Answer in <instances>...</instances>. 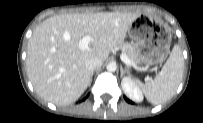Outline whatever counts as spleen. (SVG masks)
<instances>
[{"label": "spleen", "mask_w": 203, "mask_h": 123, "mask_svg": "<svg viewBox=\"0 0 203 123\" xmlns=\"http://www.w3.org/2000/svg\"><path fill=\"white\" fill-rule=\"evenodd\" d=\"M184 72V59L181 49L174 45L162 70L154 80L139 83L146 99L152 104H160L170 99L176 92Z\"/></svg>", "instance_id": "3e777b00"}]
</instances>
